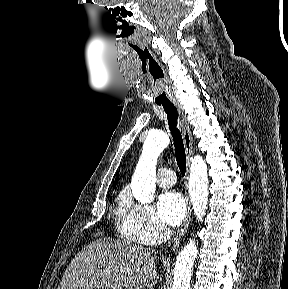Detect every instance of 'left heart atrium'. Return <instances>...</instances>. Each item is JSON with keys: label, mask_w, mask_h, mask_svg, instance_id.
Wrapping results in <instances>:
<instances>
[{"label": "left heart atrium", "mask_w": 288, "mask_h": 289, "mask_svg": "<svg viewBox=\"0 0 288 289\" xmlns=\"http://www.w3.org/2000/svg\"><path fill=\"white\" fill-rule=\"evenodd\" d=\"M157 213L165 223L178 225L186 213V202L182 194L175 190L162 193L157 200Z\"/></svg>", "instance_id": "1"}]
</instances>
